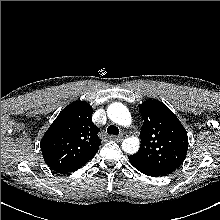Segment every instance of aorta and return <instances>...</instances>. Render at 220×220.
<instances>
[{"label": "aorta", "instance_id": "aorta-1", "mask_svg": "<svg viewBox=\"0 0 220 220\" xmlns=\"http://www.w3.org/2000/svg\"><path fill=\"white\" fill-rule=\"evenodd\" d=\"M108 117L111 121L121 126H129L132 118L129 110L121 103H113L107 109ZM139 139L129 137L122 142V150L128 154H134L139 149Z\"/></svg>", "mask_w": 220, "mask_h": 220}]
</instances>
